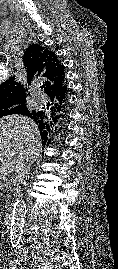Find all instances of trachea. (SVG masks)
Here are the masks:
<instances>
[{
    "label": "trachea",
    "instance_id": "obj_1",
    "mask_svg": "<svg viewBox=\"0 0 118 269\" xmlns=\"http://www.w3.org/2000/svg\"><path fill=\"white\" fill-rule=\"evenodd\" d=\"M40 88L43 89L44 88V85L40 86Z\"/></svg>",
    "mask_w": 118,
    "mask_h": 269
}]
</instances>
